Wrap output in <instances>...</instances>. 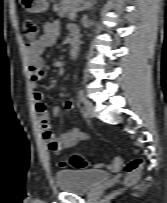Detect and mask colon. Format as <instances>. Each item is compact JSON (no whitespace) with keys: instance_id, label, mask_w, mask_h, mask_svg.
Listing matches in <instances>:
<instances>
[{"instance_id":"obj_1","label":"colon","mask_w":167,"mask_h":203,"mask_svg":"<svg viewBox=\"0 0 167 203\" xmlns=\"http://www.w3.org/2000/svg\"><path fill=\"white\" fill-rule=\"evenodd\" d=\"M23 34L25 36L27 46H30L33 43H35L40 36L38 23L33 19H26L23 22ZM70 164L75 168L81 169L87 166L88 162L80 156H73L71 158ZM67 165H68V162L66 161H63L60 163V166L62 168L67 167ZM116 166L117 164H115V167ZM124 169L126 173L125 183L127 185H131L136 182L142 170V160L139 158H135L130 162H128L125 165Z\"/></svg>"}]
</instances>
